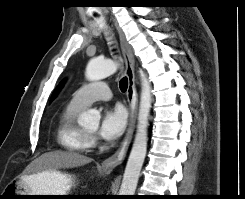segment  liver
Here are the masks:
<instances>
[{"label":"liver","mask_w":245,"mask_h":199,"mask_svg":"<svg viewBox=\"0 0 245 199\" xmlns=\"http://www.w3.org/2000/svg\"><path fill=\"white\" fill-rule=\"evenodd\" d=\"M91 161V158L76 152L56 150L42 154L37 160H35L34 167L31 169L33 174L29 176H33L46 170L74 168L88 164Z\"/></svg>","instance_id":"6515ba94"}]
</instances>
